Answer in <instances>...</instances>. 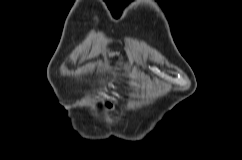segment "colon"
Masks as SVG:
<instances>
[{"label":"colon","instance_id":"5ec220e1","mask_svg":"<svg viewBox=\"0 0 242 160\" xmlns=\"http://www.w3.org/2000/svg\"><path fill=\"white\" fill-rule=\"evenodd\" d=\"M114 101H115L114 96L112 94H109L105 103L107 106H111Z\"/></svg>","mask_w":242,"mask_h":160}]
</instances>
